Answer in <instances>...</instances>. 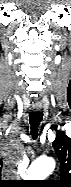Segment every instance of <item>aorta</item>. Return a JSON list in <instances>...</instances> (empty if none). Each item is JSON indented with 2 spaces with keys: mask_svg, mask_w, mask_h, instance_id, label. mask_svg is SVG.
<instances>
[{
  "mask_svg": "<svg viewBox=\"0 0 71 187\" xmlns=\"http://www.w3.org/2000/svg\"><path fill=\"white\" fill-rule=\"evenodd\" d=\"M56 163L53 158L46 157L34 161L27 170L28 180H44L55 169Z\"/></svg>",
  "mask_w": 71,
  "mask_h": 187,
  "instance_id": "obj_1",
  "label": "aorta"
}]
</instances>
